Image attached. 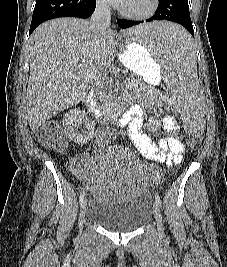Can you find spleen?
Returning a JSON list of instances; mask_svg holds the SVG:
<instances>
[{"label":"spleen","instance_id":"spleen-1","mask_svg":"<svg viewBox=\"0 0 227 267\" xmlns=\"http://www.w3.org/2000/svg\"><path fill=\"white\" fill-rule=\"evenodd\" d=\"M124 43H138L151 51V59H163V81H168L176 104L191 105L179 106L178 115H204L193 49L196 38H190L188 29L173 19H152V22L133 25L132 33H125ZM181 121L187 137L200 140L205 134L204 116H181Z\"/></svg>","mask_w":227,"mask_h":267}]
</instances>
